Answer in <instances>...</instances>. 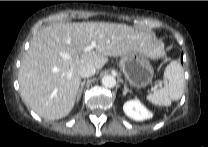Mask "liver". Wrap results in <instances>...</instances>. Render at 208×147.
Listing matches in <instances>:
<instances>
[{
	"label": "liver",
	"instance_id": "6515ba94",
	"mask_svg": "<svg viewBox=\"0 0 208 147\" xmlns=\"http://www.w3.org/2000/svg\"><path fill=\"white\" fill-rule=\"evenodd\" d=\"M92 41L96 42L95 50L84 52ZM131 52L156 59L164 55L163 43L125 24L81 22L46 26L33 37L23 56L18 73L21 98L43 118H63L74 107L83 67L100 70L108 57Z\"/></svg>",
	"mask_w": 208,
	"mask_h": 147
}]
</instances>
